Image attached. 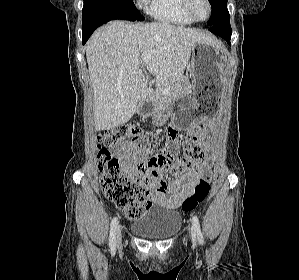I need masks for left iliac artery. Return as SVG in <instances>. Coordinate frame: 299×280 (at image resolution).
<instances>
[{"label": "left iliac artery", "instance_id": "obj_1", "mask_svg": "<svg viewBox=\"0 0 299 280\" xmlns=\"http://www.w3.org/2000/svg\"><path fill=\"white\" fill-rule=\"evenodd\" d=\"M192 230L197 233V239L199 244H203L204 238L201 232L200 223L197 216H193L192 218Z\"/></svg>", "mask_w": 299, "mask_h": 280}]
</instances>
